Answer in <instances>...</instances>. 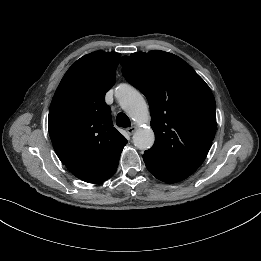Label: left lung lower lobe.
I'll use <instances>...</instances> for the list:
<instances>
[{
	"mask_svg": "<svg viewBox=\"0 0 261 261\" xmlns=\"http://www.w3.org/2000/svg\"><path fill=\"white\" fill-rule=\"evenodd\" d=\"M143 160L147 169L156 178L167 183L179 182L197 170L196 167L178 166L166 163L147 153H144Z\"/></svg>",
	"mask_w": 261,
	"mask_h": 261,
	"instance_id": "left-lung-lower-lobe-1",
	"label": "left lung lower lobe"
}]
</instances>
